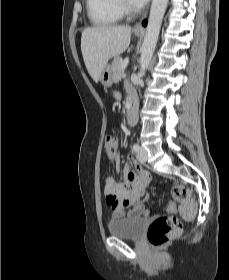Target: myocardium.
<instances>
[{
  "label": "myocardium",
  "mask_w": 229,
  "mask_h": 280,
  "mask_svg": "<svg viewBox=\"0 0 229 280\" xmlns=\"http://www.w3.org/2000/svg\"><path fill=\"white\" fill-rule=\"evenodd\" d=\"M119 9L124 12H133L135 9L126 6V0H117Z\"/></svg>",
  "instance_id": "f54148a6"
}]
</instances>
